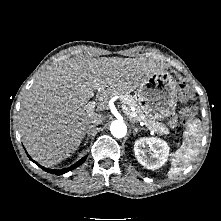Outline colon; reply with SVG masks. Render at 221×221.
<instances>
[{"label": "colon", "mask_w": 221, "mask_h": 221, "mask_svg": "<svg viewBox=\"0 0 221 221\" xmlns=\"http://www.w3.org/2000/svg\"><path fill=\"white\" fill-rule=\"evenodd\" d=\"M191 96L192 94L190 90L188 89V87L182 84L181 85V97L184 100H188L191 98ZM195 114H196V110L193 107H186L180 111V116L184 124H187L190 120H192Z\"/></svg>", "instance_id": "obj_1"}]
</instances>
